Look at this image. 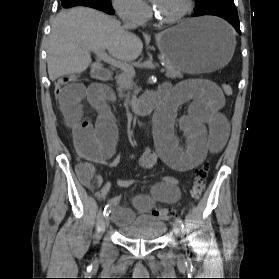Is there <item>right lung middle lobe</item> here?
Segmentation results:
<instances>
[{
  "label": "right lung middle lobe",
  "instance_id": "right-lung-middle-lobe-1",
  "mask_svg": "<svg viewBox=\"0 0 279 279\" xmlns=\"http://www.w3.org/2000/svg\"><path fill=\"white\" fill-rule=\"evenodd\" d=\"M99 1L106 6H112L111 5V0H99Z\"/></svg>",
  "mask_w": 279,
  "mask_h": 279
}]
</instances>
